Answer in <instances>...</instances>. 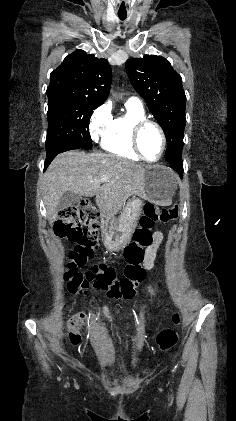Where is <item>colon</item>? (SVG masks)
<instances>
[{
	"mask_svg": "<svg viewBox=\"0 0 236 421\" xmlns=\"http://www.w3.org/2000/svg\"><path fill=\"white\" fill-rule=\"evenodd\" d=\"M179 207H159L146 203L143 214L139 219V227L135 231L134 241L125 249L127 267L125 274L119 277L115 268L106 265H94L82 273L78 269L90 260L99 247V224L97 222H83L82 211L75 207H66L58 214L54 230L58 237L75 244L69 254L67 272L68 288L71 292L87 293L90 287L104 291L109 298H132L136 286L143 281L145 270L142 263L149 257L147 248L155 244L152 228L156 223H167L178 217ZM154 254V252H153ZM173 322L180 324V316L175 314ZM178 339V334L173 329H165L156 337V343L162 350L172 348ZM73 345H81V336L77 332L69 334Z\"/></svg>",
	"mask_w": 236,
	"mask_h": 421,
	"instance_id": "5ec220e1",
	"label": "colon"
}]
</instances>
